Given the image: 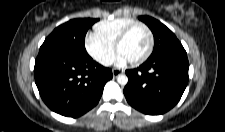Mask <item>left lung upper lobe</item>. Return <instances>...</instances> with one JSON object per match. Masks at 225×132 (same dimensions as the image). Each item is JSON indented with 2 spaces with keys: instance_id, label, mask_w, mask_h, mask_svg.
<instances>
[{
  "instance_id": "5c2ea615",
  "label": "left lung upper lobe",
  "mask_w": 225,
  "mask_h": 132,
  "mask_svg": "<svg viewBox=\"0 0 225 132\" xmlns=\"http://www.w3.org/2000/svg\"><path fill=\"white\" fill-rule=\"evenodd\" d=\"M139 20L147 24L154 35V49L149 59L184 50L174 33L160 21L149 16H140Z\"/></svg>"
}]
</instances>
